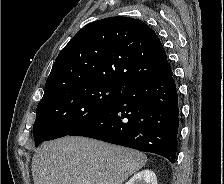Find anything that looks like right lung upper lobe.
<instances>
[{
	"mask_svg": "<svg viewBox=\"0 0 224 184\" xmlns=\"http://www.w3.org/2000/svg\"><path fill=\"white\" fill-rule=\"evenodd\" d=\"M169 72L163 45L147 24L130 17L105 18L84 26L61 50L42 100L80 83L126 86Z\"/></svg>",
	"mask_w": 224,
	"mask_h": 184,
	"instance_id": "cb5924a9",
	"label": "right lung upper lobe"
}]
</instances>
